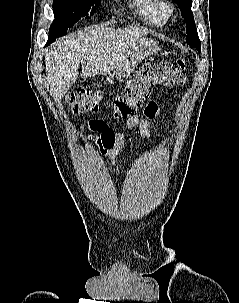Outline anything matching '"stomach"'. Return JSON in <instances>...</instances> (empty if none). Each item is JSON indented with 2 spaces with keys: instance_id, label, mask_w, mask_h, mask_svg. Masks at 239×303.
I'll list each match as a JSON object with an SVG mask.
<instances>
[{
  "instance_id": "0dacf381",
  "label": "stomach",
  "mask_w": 239,
  "mask_h": 303,
  "mask_svg": "<svg viewBox=\"0 0 239 303\" xmlns=\"http://www.w3.org/2000/svg\"><path fill=\"white\" fill-rule=\"evenodd\" d=\"M158 50L159 47L154 41L140 40L135 47L125 53L123 59L114 67L113 75L118 78L128 75L143 59L157 53Z\"/></svg>"
}]
</instances>
